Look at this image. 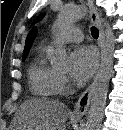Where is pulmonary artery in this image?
Listing matches in <instances>:
<instances>
[{
  "instance_id": "pulmonary-artery-1",
  "label": "pulmonary artery",
  "mask_w": 123,
  "mask_h": 130,
  "mask_svg": "<svg viewBox=\"0 0 123 130\" xmlns=\"http://www.w3.org/2000/svg\"><path fill=\"white\" fill-rule=\"evenodd\" d=\"M83 39V32L77 27L66 29L56 42L72 43L80 42Z\"/></svg>"
}]
</instances>
